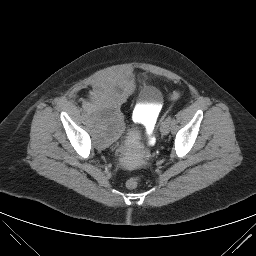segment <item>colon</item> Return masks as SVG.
Wrapping results in <instances>:
<instances>
[{
  "label": "colon",
  "instance_id": "1",
  "mask_svg": "<svg viewBox=\"0 0 256 256\" xmlns=\"http://www.w3.org/2000/svg\"><path fill=\"white\" fill-rule=\"evenodd\" d=\"M178 96H179V93L177 92L173 94V98H177ZM139 184H140V178L137 176L130 177L126 181V187L129 189H135Z\"/></svg>",
  "mask_w": 256,
  "mask_h": 256
}]
</instances>
